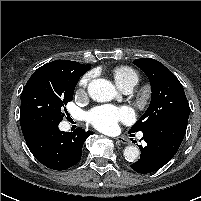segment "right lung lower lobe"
Masks as SVG:
<instances>
[{
	"label": "right lung lower lobe",
	"instance_id": "obj_1",
	"mask_svg": "<svg viewBox=\"0 0 201 201\" xmlns=\"http://www.w3.org/2000/svg\"><path fill=\"white\" fill-rule=\"evenodd\" d=\"M91 134L82 128L71 133L63 132L58 124H43L23 131L33 156L54 170H65L76 165L81 159L83 143Z\"/></svg>",
	"mask_w": 201,
	"mask_h": 201
}]
</instances>
